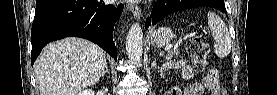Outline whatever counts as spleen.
<instances>
[{"instance_id": "spleen-1", "label": "spleen", "mask_w": 277, "mask_h": 95, "mask_svg": "<svg viewBox=\"0 0 277 95\" xmlns=\"http://www.w3.org/2000/svg\"><path fill=\"white\" fill-rule=\"evenodd\" d=\"M208 25L214 38L215 53L219 58H225L231 51V37L223 20L213 12H209Z\"/></svg>"}]
</instances>
